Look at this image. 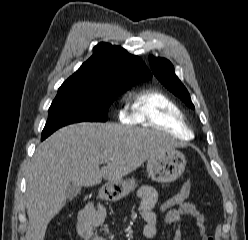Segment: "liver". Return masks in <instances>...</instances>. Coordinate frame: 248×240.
<instances>
[{
  "instance_id": "liver-1",
  "label": "liver",
  "mask_w": 248,
  "mask_h": 240,
  "mask_svg": "<svg viewBox=\"0 0 248 240\" xmlns=\"http://www.w3.org/2000/svg\"><path fill=\"white\" fill-rule=\"evenodd\" d=\"M178 145L162 133L113 123L59 129L37 147L29 167L26 208L32 240H44L49 222L66 204L71 183L91 187L102 178L120 180Z\"/></svg>"
}]
</instances>
